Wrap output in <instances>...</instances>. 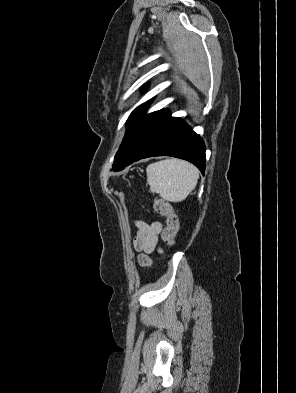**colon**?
Wrapping results in <instances>:
<instances>
[{
  "label": "colon",
  "mask_w": 296,
  "mask_h": 393,
  "mask_svg": "<svg viewBox=\"0 0 296 393\" xmlns=\"http://www.w3.org/2000/svg\"><path fill=\"white\" fill-rule=\"evenodd\" d=\"M153 208L157 214L165 217V228L162 232V239L166 245L172 246L175 242L179 226L178 217L174 208L168 201L161 198L154 199Z\"/></svg>",
  "instance_id": "5ec220e1"
}]
</instances>
